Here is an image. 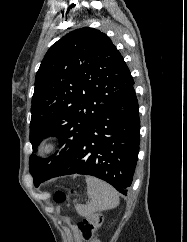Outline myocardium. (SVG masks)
Instances as JSON below:
<instances>
[{
    "instance_id": "1",
    "label": "myocardium",
    "mask_w": 187,
    "mask_h": 242,
    "mask_svg": "<svg viewBox=\"0 0 187 242\" xmlns=\"http://www.w3.org/2000/svg\"><path fill=\"white\" fill-rule=\"evenodd\" d=\"M59 145L56 140H49L42 144L41 150L44 154L50 155L57 151Z\"/></svg>"
}]
</instances>
